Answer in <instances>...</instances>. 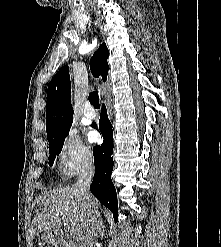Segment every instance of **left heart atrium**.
<instances>
[{
  "label": "left heart atrium",
  "instance_id": "obj_1",
  "mask_svg": "<svg viewBox=\"0 0 221 247\" xmlns=\"http://www.w3.org/2000/svg\"><path fill=\"white\" fill-rule=\"evenodd\" d=\"M89 139H90V141H92V142L97 141V140H98V134H97L96 132H91V133L89 134Z\"/></svg>",
  "mask_w": 221,
  "mask_h": 247
}]
</instances>
